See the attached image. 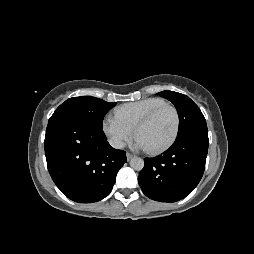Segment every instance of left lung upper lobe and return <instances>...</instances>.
Segmentation results:
<instances>
[{
	"mask_svg": "<svg viewBox=\"0 0 254 254\" xmlns=\"http://www.w3.org/2000/svg\"><path fill=\"white\" fill-rule=\"evenodd\" d=\"M159 95L171 101L177 109L179 129L176 139L195 133H208L201 110L189 97L173 91H162Z\"/></svg>",
	"mask_w": 254,
	"mask_h": 254,
	"instance_id": "1",
	"label": "left lung upper lobe"
}]
</instances>
